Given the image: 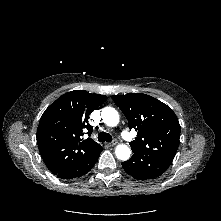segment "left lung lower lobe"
<instances>
[{"label":"left lung lower lobe","instance_id":"1","mask_svg":"<svg viewBox=\"0 0 221 221\" xmlns=\"http://www.w3.org/2000/svg\"><path fill=\"white\" fill-rule=\"evenodd\" d=\"M172 160L133 152L132 157L122 163L125 172L138 180L159 177L171 165Z\"/></svg>","mask_w":221,"mask_h":221}]
</instances>
